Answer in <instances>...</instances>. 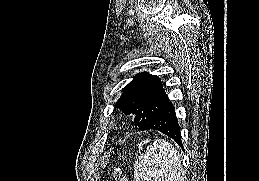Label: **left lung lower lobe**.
Wrapping results in <instances>:
<instances>
[{
    "label": "left lung lower lobe",
    "instance_id": "0a47b994",
    "mask_svg": "<svg viewBox=\"0 0 259 181\" xmlns=\"http://www.w3.org/2000/svg\"><path fill=\"white\" fill-rule=\"evenodd\" d=\"M158 130L171 137L182 147L180 127L178 125L173 104L167 99L155 119L145 128V130Z\"/></svg>",
    "mask_w": 259,
    "mask_h": 181
}]
</instances>
